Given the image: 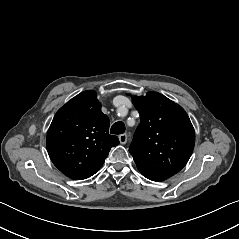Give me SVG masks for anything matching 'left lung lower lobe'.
<instances>
[{"label": "left lung lower lobe", "mask_w": 239, "mask_h": 239, "mask_svg": "<svg viewBox=\"0 0 239 239\" xmlns=\"http://www.w3.org/2000/svg\"><path fill=\"white\" fill-rule=\"evenodd\" d=\"M146 178L152 181H163L173 175L167 173H159V172H152V171H145L139 170Z\"/></svg>", "instance_id": "left-lung-lower-lobe-1"}]
</instances>
